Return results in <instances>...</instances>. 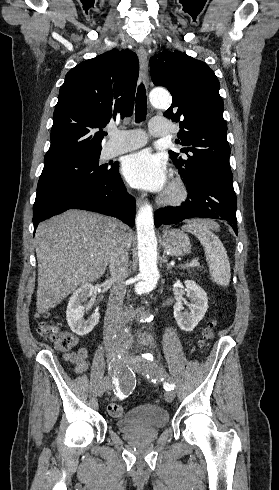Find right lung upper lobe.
<instances>
[{
	"label": "right lung upper lobe",
	"mask_w": 279,
	"mask_h": 490,
	"mask_svg": "<svg viewBox=\"0 0 279 490\" xmlns=\"http://www.w3.org/2000/svg\"><path fill=\"white\" fill-rule=\"evenodd\" d=\"M138 68L135 53L113 49L67 73L45 163L101 152L102 128L132 114Z\"/></svg>",
	"instance_id": "cb5924a9"
}]
</instances>
